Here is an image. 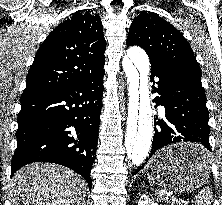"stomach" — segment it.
Here are the masks:
<instances>
[{
    "label": "stomach",
    "mask_w": 222,
    "mask_h": 205,
    "mask_svg": "<svg viewBox=\"0 0 222 205\" xmlns=\"http://www.w3.org/2000/svg\"><path fill=\"white\" fill-rule=\"evenodd\" d=\"M204 150L198 144L181 142L158 152L147 164L149 179L163 189L191 192L201 187L210 172L209 161L198 165H180L175 162L180 152Z\"/></svg>",
    "instance_id": "obj_1"
}]
</instances>
